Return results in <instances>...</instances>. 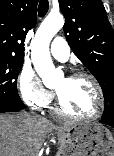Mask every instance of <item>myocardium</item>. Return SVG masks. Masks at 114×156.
<instances>
[{
  "instance_id": "myocardium-1",
  "label": "myocardium",
  "mask_w": 114,
  "mask_h": 156,
  "mask_svg": "<svg viewBox=\"0 0 114 156\" xmlns=\"http://www.w3.org/2000/svg\"><path fill=\"white\" fill-rule=\"evenodd\" d=\"M81 77L89 79L95 88L96 95H97V109H96V111L92 115L85 116V117L74 116V115L67 113L62 106L61 98H60V95L57 91H56L55 111L61 117L68 119V120L78 121V122L93 121V120H95L101 116L103 109H104L103 90H102V87H101L99 81L97 80V78L87 71H76V72L72 73L68 78L69 79H75V78H81Z\"/></svg>"
}]
</instances>
